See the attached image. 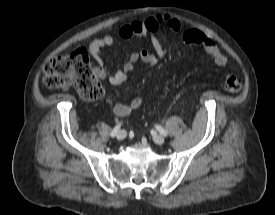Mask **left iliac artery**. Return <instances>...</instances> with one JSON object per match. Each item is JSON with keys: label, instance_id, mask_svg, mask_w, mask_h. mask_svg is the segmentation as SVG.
Returning a JSON list of instances; mask_svg holds the SVG:
<instances>
[{"label": "left iliac artery", "instance_id": "1", "mask_svg": "<svg viewBox=\"0 0 275 215\" xmlns=\"http://www.w3.org/2000/svg\"><path fill=\"white\" fill-rule=\"evenodd\" d=\"M156 129L159 131V133H160L161 135H163V136H165V137L168 135V132H167L163 127L157 125V126H156Z\"/></svg>", "mask_w": 275, "mask_h": 215}]
</instances>
